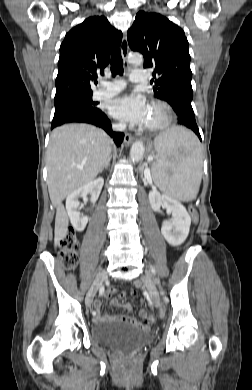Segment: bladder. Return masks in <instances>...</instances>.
<instances>
[{"label":"bladder","mask_w":252,"mask_h":390,"mask_svg":"<svg viewBox=\"0 0 252 390\" xmlns=\"http://www.w3.org/2000/svg\"><path fill=\"white\" fill-rule=\"evenodd\" d=\"M91 339L104 347L133 352L150 343L153 336L129 324L105 321L92 325Z\"/></svg>","instance_id":"1"}]
</instances>
